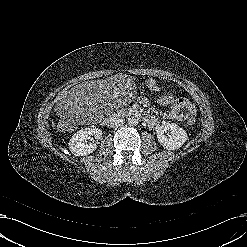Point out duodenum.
Segmentation results:
<instances>
[{"label":"duodenum","mask_w":247,"mask_h":247,"mask_svg":"<svg viewBox=\"0 0 247 247\" xmlns=\"http://www.w3.org/2000/svg\"><path fill=\"white\" fill-rule=\"evenodd\" d=\"M127 115L129 116H135L139 114V111L137 109H130L126 112ZM121 116V113L114 114L106 119V122H110L112 120H117Z\"/></svg>","instance_id":"1"}]
</instances>
